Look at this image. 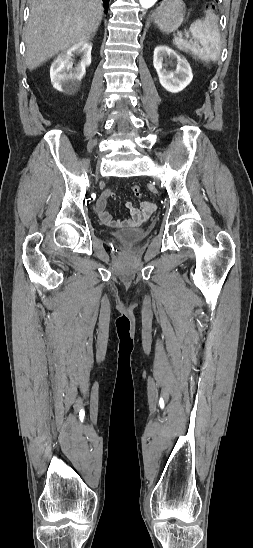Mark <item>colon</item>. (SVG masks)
I'll use <instances>...</instances> for the list:
<instances>
[{"mask_svg":"<svg viewBox=\"0 0 253 548\" xmlns=\"http://www.w3.org/2000/svg\"><path fill=\"white\" fill-rule=\"evenodd\" d=\"M132 192L136 197H140L142 195L141 188L138 185L132 187Z\"/></svg>","mask_w":253,"mask_h":548,"instance_id":"1","label":"colon"}]
</instances>
